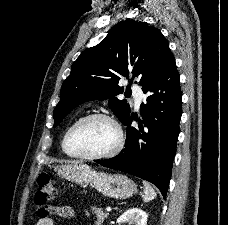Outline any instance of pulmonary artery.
<instances>
[{
    "label": "pulmonary artery",
    "instance_id": "pulmonary-artery-1",
    "mask_svg": "<svg viewBox=\"0 0 228 225\" xmlns=\"http://www.w3.org/2000/svg\"><path fill=\"white\" fill-rule=\"evenodd\" d=\"M132 93L134 97V105L136 108H138L141 102L144 100V93L138 85L132 86Z\"/></svg>",
    "mask_w": 228,
    "mask_h": 225
}]
</instances>
